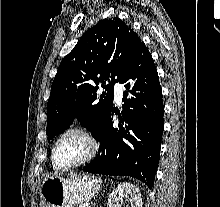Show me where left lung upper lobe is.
Masks as SVG:
<instances>
[{
	"instance_id": "left-lung-upper-lobe-1",
	"label": "left lung upper lobe",
	"mask_w": 220,
	"mask_h": 207,
	"mask_svg": "<svg viewBox=\"0 0 220 207\" xmlns=\"http://www.w3.org/2000/svg\"><path fill=\"white\" fill-rule=\"evenodd\" d=\"M141 42L119 18L103 19L83 34L61 61L53 80L47 103L48 139L75 119L93 136L98 132L113 107L114 83ZM99 81L106 90L100 97L96 93Z\"/></svg>"
}]
</instances>
